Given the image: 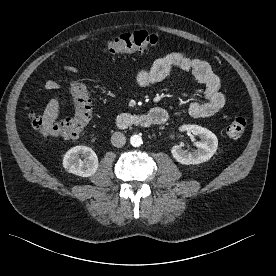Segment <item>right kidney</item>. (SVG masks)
<instances>
[{
  "instance_id": "1",
  "label": "right kidney",
  "mask_w": 276,
  "mask_h": 276,
  "mask_svg": "<svg viewBox=\"0 0 276 276\" xmlns=\"http://www.w3.org/2000/svg\"><path fill=\"white\" fill-rule=\"evenodd\" d=\"M84 156V160L79 155ZM96 153L87 146H75L68 150L63 158V167L69 172L81 177L92 176L98 168Z\"/></svg>"
}]
</instances>
